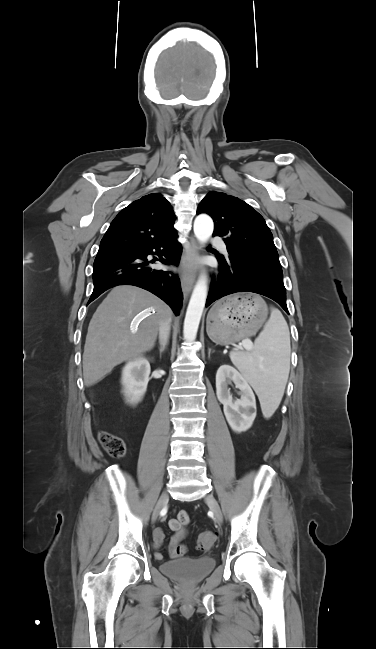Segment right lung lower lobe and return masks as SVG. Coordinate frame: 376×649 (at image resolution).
Wrapping results in <instances>:
<instances>
[{
	"instance_id": "1",
	"label": "right lung lower lobe",
	"mask_w": 376,
	"mask_h": 649,
	"mask_svg": "<svg viewBox=\"0 0 376 649\" xmlns=\"http://www.w3.org/2000/svg\"><path fill=\"white\" fill-rule=\"evenodd\" d=\"M177 234L144 244L136 249L97 255L93 266L94 289L89 302L95 300L107 289L117 285H134L146 289L165 301L179 315L183 294L180 280L169 271L149 267V254L158 255L163 264L178 265L181 246Z\"/></svg>"
}]
</instances>
